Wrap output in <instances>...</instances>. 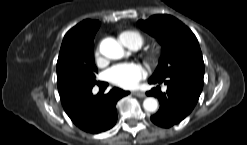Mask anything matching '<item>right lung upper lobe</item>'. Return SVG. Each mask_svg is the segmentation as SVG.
<instances>
[{
  "mask_svg": "<svg viewBox=\"0 0 247 145\" xmlns=\"http://www.w3.org/2000/svg\"><path fill=\"white\" fill-rule=\"evenodd\" d=\"M99 26L100 23L96 20H84L66 33L62 44L75 42L80 45L94 47L93 39Z\"/></svg>",
  "mask_w": 247,
  "mask_h": 145,
  "instance_id": "1",
  "label": "right lung upper lobe"
}]
</instances>
